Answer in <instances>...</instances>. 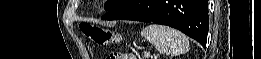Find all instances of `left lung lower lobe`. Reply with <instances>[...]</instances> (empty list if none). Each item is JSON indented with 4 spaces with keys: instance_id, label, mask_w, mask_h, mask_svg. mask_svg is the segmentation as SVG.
<instances>
[{
    "instance_id": "left-lung-lower-lobe-1",
    "label": "left lung lower lobe",
    "mask_w": 261,
    "mask_h": 59,
    "mask_svg": "<svg viewBox=\"0 0 261 59\" xmlns=\"http://www.w3.org/2000/svg\"><path fill=\"white\" fill-rule=\"evenodd\" d=\"M104 20H135L174 27L206 46L208 0H123Z\"/></svg>"
}]
</instances>
